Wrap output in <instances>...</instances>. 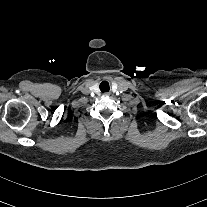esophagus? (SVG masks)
<instances>
[{
	"instance_id": "34e87169",
	"label": "esophagus",
	"mask_w": 207,
	"mask_h": 207,
	"mask_svg": "<svg viewBox=\"0 0 207 207\" xmlns=\"http://www.w3.org/2000/svg\"><path fill=\"white\" fill-rule=\"evenodd\" d=\"M104 95L105 96H110L111 95V92H105Z\"/></svg>"
}]
</instances>
